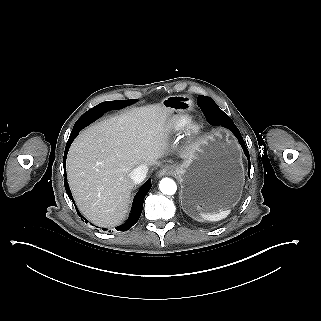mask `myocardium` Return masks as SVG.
<instances>
[{"label":"myocardium","instance_id":"1","mask_svg":"<svg viewBox=\"0 0 321 321\" xmlns=\"http://www.w3.org/2000/svg\"><path fill=\"white\" fill-rule=\"evenodd\" d=\"M203 125L197 120H190L179 133L180 142L186 147L197 144L203 136Z\"/></svg>","mask_w":321,"mask_h":321}]
</instances>
